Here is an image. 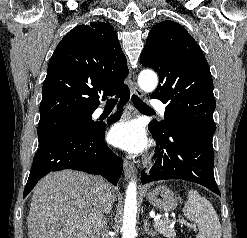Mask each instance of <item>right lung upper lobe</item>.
Masks as SVG:
<instances>
[{
	"mask_svg": "<svg viewBox=\"0 0 247 238\" xmlns=\"http://www.w3.org/2000/svg\"><path fill=\"white\" fill-rule=\"evenodd\" d=\"M126 57L117 34L107 23L80 25L57 45L42 88L40 121L61 115L93 112L98 92L118 94L127 88Z\"/></svg>",
	"mask_w": 247,
	"mask_h": 238,
	"instance_id": "cb5924a9",
	"label": "right lung upper lobe"
}]
</instances>
